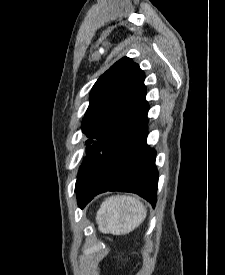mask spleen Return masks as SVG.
Listing matches in <instances>:
<instances>
[{
  "mask_svg": "<svg viewBox=\"0 0 225 275\" xmlns=\"http://www.w3.org/2000/svg\"><path fill=\"white\" fill-rule=\"evenodd\" d=\"M147 215L146 207L136 198L117 195L107 198L97 211L99 231L125 235L137 228Z\"/></svg>",
  "mask_w": 225,
  "mask_h": 275,
  "instance_id": "1",
  "label": "spleen"
}]
</instances>
